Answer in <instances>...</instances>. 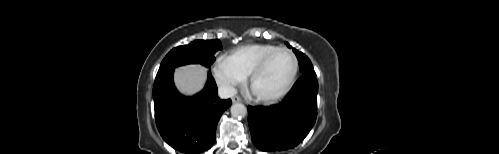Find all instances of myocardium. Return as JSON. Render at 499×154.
Masks as SVG:
<instances>
[{
    "instance_id": "1",
    "label": "myocardium",
    "mask_w": 499,
    "mask_h": 154,
    "mask_svg": "<svg viewBox=\"0 0 499 154\" xmlns=\"http://www.w3.org/2000/svg\"><path fill=\"white\" fill-rule=\"evenodd\" d=\"M279 52H285V53L290 55V57L293 60V70H292V73H291L286 85L277 94H275L273 96L265 97V96H259V95H256L253 93L258 101L265 103V104H273V103H276L279 100H281L292 88V86L295 82L298 70H299L298 59H297L296 55L291 50H289L285 47L276 48L275 50H273L272 52L267 54L249 74L248 86H249L251 91H252V85H253L254 81L256 80V78L260 74L263 73V71L266 69L269 61L273 58L274 55H276Z\"/></svg>"
}]
</instances>
